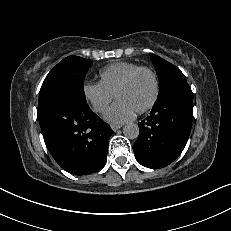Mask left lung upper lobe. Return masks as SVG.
<instances>
[{
	"instance_id": "obj_1",
	"label": "left lung upper lobe",
	"mask_w": 231,
	"mask_h": 231,
	"mask_svg": "<svg viewBox=\"0 0 231 231\" xmlns=\"http://www.w3.org/2000/svg\"><path fill=\"white\" fill-rule=\"evenodd\" d=\"M151 60L159 78V95L172 85L187 82L183 73L171 63L154 54H151Z\"/></svg>"
}]
</instances>
